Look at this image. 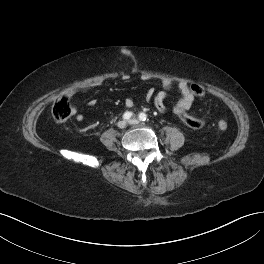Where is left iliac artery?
Wrapping results in <instances>:
<instances>
[{"label": "left iliac artery", "mask_w": 264, "mask_h": 264, "mask_svg": "<svg viewBox=\"0 0 264 264\" xmlns=\"http://www.w3.org/2000/svg\"><path fill=\"white\" fill-rule=\"evenodd\" d=\"M147 119V115L145 113H140L139 114V120L140 121H145Z\"/></svg>", "instance_id": "left-iliac-artery-1"}]
</instances>
